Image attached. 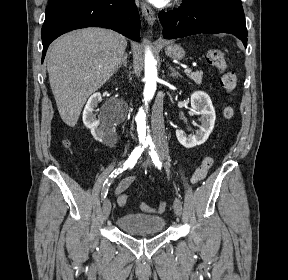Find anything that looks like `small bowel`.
Returning <instances> with one entry per match:
<instances>
[{
	"label": "small bowel",
	"mask_w": 288,
	"mask_h": 280,
	"mask_svg": "<svg viewBox=\"0 0 288 280\" xmlns=\"http://www.w3.org/2000/svg\"><path fill=\"white\" fill-rule=\"evenodd\" d=\"M135 181V177L134 176H130V177H127L125 179H123L119 185L117 186V188L115 189V196L117 197V201H118V204L120 206H123L119 200L122 196H125V192L126 190L134 183Z\"/></svg>",
	"instance_id": "c3829d8e"
}]
</instances>
